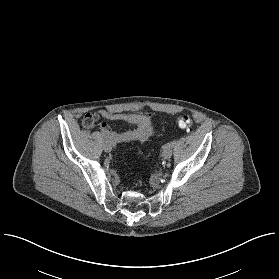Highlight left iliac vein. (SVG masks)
<instances>
[{"mask_svg": "<svg viewBox=\"0 0 279 279\" xmlns=\"http://www.w3.org/2000/svg\"><path fill=\"white\" fill-rule=\"evenodd\" d=\"M172 154H173L172 149H171V148H167V149H165V150L162 152V157H163L164 159H169V158L172 156Z\"/></svg>", "mask_w": 279, "mask_h": 279, "instance_id": "1", "label": "left iliac vein"}]
</instances>
